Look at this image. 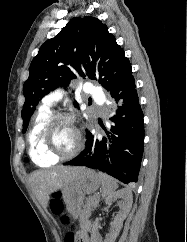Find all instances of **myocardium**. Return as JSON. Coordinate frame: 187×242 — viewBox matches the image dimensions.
<instances>
[{
  "label": "myocardium",
  "mask_w": 187,
  "mask_h": 242,
  "mask_svg": "<svg viewBox=\"0 0 187 242\" xmlns=\"http://www.w3.org/2000/svg\"><path fill=\"white\" fill-rule=\"evenodd\" d=\"M60 121H67L71 123L76 130V135H77L76 145L71 151L67 153L57 152L51 146V135H52L53 129L56 126V124ZM41 145L46 155L57 158L58 160L69 159L77 155L83 146V137H82L81 130L76 123L75 118L72 115L65 112L53 114L48 119L46 125L43 128L42 135H41Z\"/></svg>",
  "instance_id": "f54148a6"
}]
</instances>
